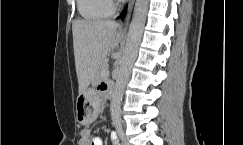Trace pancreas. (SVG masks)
Returning <instances> with one entry per match:
<instances>
[{
  "mask_svg": "<svg viewBox=\"0 0 243 145\" xmlns=\"http://www.w3.org/2000/svg\"><path fill=\"white\" fill-rule=\"evenodd\" d=\"M108 75V62L106 60L102 61L99 66V70L96 75V79H103Z\"/></svg>",
  "mask_w": 243,
  "mask_h": 145,
  "instance_id": "obj_1",
  "label": "pancreas"
}]
</instances>
